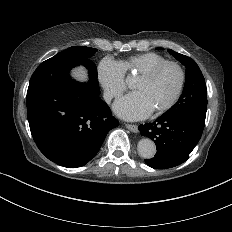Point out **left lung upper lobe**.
I'll return each instance as SVG.
<instances>
[{
	"label": "left lung upper lobe",
	"instance_id": "left-lung-upper-lobe-1",
	"mask_svg": "<svg viewBox=\"0 0 232 232\" xmlns=\"http://www.w3.org/2000/svg\"><path fill=\"white\" fill-rule=\"evenodd\" d=\"M168 52L186 67V81L179 100L164 115L183 116L198 126L204 127L207 110V88L203 74L196 62L190 57L171 49H168Z\"/></svg>",
	"mask_w": 232,
	"mask_h": 232
}]
</instances>
